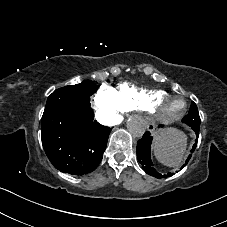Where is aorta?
Returning a JSON list of instances; mask_svg holds the SVG:
<instances>
[{"mask_svg": "<svg viewBox=\"0 0 227 227\" xmlns=\"http://www.w3.org/2000/svg\"><path fill=\"white\" fill-rule=\"evenodd\" d=\"M129 132L135 137H141L146 129L145 121L138 116H133L127 122Z\"/></svg>", "mask_w": 227, "mask_h": 227, "instance_id": "aorta-1", "label": "aorta"}]
</instances>
